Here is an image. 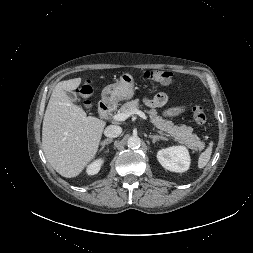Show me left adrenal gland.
Wrapping results in <instances>:
<instances>
[{"mask_svg":"<svg viewBox=\"0 0 253 253\" xmlns=\"http://www.w3.org/2000/svg\"><path fill=\"white\" fill-rule=\"evenodd\" d=\"M149 137L152 139L153 144H155L156 141H158L159 139L164 140V141L168 140L166 137L159 136V135H152L151 133H150Z\"/></svg>","mask_w":253,"mask_h":253,"instance_id":"left-adrenal-gland-1","label":"left adrenal gland"}]
</instances>
